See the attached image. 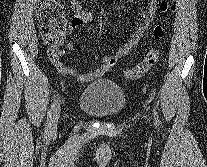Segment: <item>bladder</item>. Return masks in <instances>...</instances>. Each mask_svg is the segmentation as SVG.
I'll return each instance as SVG.
<instances>
[{"instance_id": "bladder-1", "label": "bladder", "mask_w": 207, "mask_h": 167, "mask_svg": "<svg viewBox=\"0 0 207 167\" xmlns=\"http://www.w3.org/2000/svg\"><path fill=\"white\" fill-rule=\"evenodd\" d=\"M78 105L92 117L114 118L126 105V94L117 83L101 79L86 85L78 100Z\"/></svg>"}]
</instances>
